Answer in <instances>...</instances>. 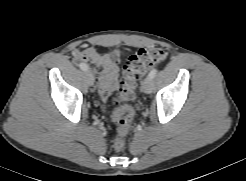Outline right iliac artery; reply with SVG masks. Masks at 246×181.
Listing matches in <instances>:
<instances>
[{
    "label": "right iliac artery",
    "instance_id": "obj_1",
    "mask_svg": "<svg viewBox=\"0 0 246 181\" xmlns=\"http://www.w3.org/2000/svg\"><path fill=\"white\" fill-rule=\"evenodd\" d=\"M80 69L87 71L89 69L88 65H86L85 63H80L79 64Z\"/></svg>",
    "mask_w": 246,
    "mask_h": 181
}]
</instances>
